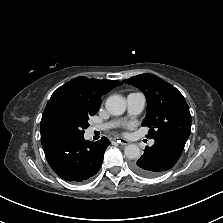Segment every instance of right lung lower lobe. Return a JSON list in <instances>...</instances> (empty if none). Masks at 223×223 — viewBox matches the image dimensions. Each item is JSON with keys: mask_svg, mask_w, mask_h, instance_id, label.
Returning <instances> with one entry per match:
<instances>
[{"mask_svg": "<svg viewBox=\"0 0 223 223\" xmlns=\"http://www.w3.org/2000/svg\"><path fill=\"white\" fill-rule=\"evenodd\" d=\"M110 141L106 137L96 142L84 136L56 138L42 145L46 159L54 172L70 182H85L100 169Z\"/></svg>", "mask_w": 223, "mask_h": 223, "instance_id": "1", "label": "right lung lower lobe"}]
</instances>
